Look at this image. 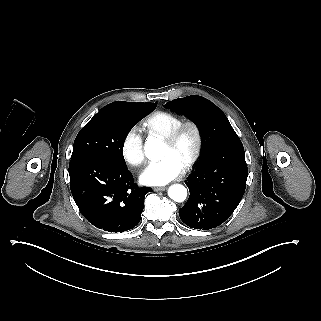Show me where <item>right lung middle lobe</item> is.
<instances>
[{
    "label": "right lung middle lobe",
    "instance_id": "1",
    "mask_svg": "<svg viewBox=\"0 0 321 321\" xmlns=\"http://www.w3.org/2000/svg\"><path fill=\"white\" fill-rule=\"evenodd\" d=\"M156 106L123 101L106 105L78 133L71 158L97 157L126 165L123 145L128 133Z\"/></svg>",
    "mask_w": 321,
    "mask_h": 321
}]
</instances>
